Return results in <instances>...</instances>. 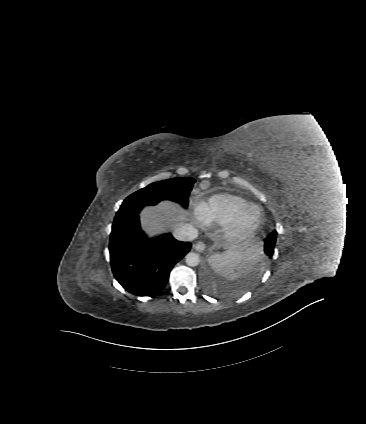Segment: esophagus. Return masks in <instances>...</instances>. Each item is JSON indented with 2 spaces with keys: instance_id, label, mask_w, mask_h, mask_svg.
I'll use <instances>...</instances> for the list:
<instances>
[{
  "instance_id": "obj_1",
  "label": "esophagus",
  "mask_w": 366,
  "mask_h": 424,
  "mask_svg": "<svg viewBox=\"0 0 366 424\" xmlns=\"http://www.w3.org/2000/svg\"><path fill=\"white\" fill-rule=\"evenodd\" d=\"M193 247L198 252H203L206 249V245L203 242H197Z\"/></svg>"
}]
</instances>
